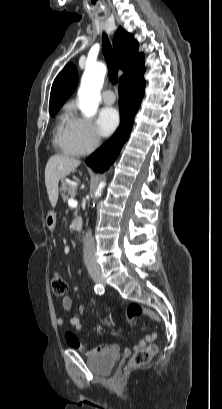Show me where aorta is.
Masks as SVG:
<instances>
[{"label": "aorta", "mask_w": 222, "mask_h": 409, "mask_svg": "<svg viewBox=\"0 0 222 409\" xmlns=\"http://www.w3.org/2000/svg\"><path fill=\"white\" fill-rule=\"evenodd\" d=\"M106 74V66L103 63L88 65L81 79V86L78 91L79 109L85 117H91L96 114L99 102L101 100L100 91L103 86ZM105 182H100L94 196L100 197Z\"/></svg>", "instance_id": "aorta-1"}]
</instances>
